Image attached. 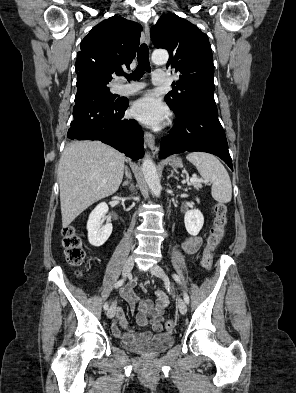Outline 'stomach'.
<instances>
[{
	"label": "stomach",
	"mask_w": 296,
	"mask_h": 393,
	"mask_svg": "<svg viewBox=\"0 0 296 393\" xmlns=\"http://www.w3.org/2000/svg\"><path fill=\"white\" fill-rule=\"evenodd\" d=\"M169 165L173 168L182 167V160L179 157H172L169 159Z\"/></svg>",
	"instance_id": "1"
}]
</instances>
